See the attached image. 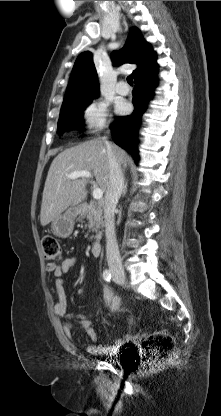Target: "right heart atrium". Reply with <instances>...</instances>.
<instances>
[{
    "label": "right heart atrium",
    "instance_id": "d8ad5b80",
    "mask_svg": "<svg viewBox=\"0 0 221 416\" xmlns=\"http://www.w3.org/2000/svg\"><path fill=\"white\" fill-rule=\"evenodd\" d=\"M82 117L87 131H98L110 123L108 104L94 99L85 107Z\"/></svg>",
    "mask_w": 221,
    "mask_h": 416
}]
</instances>
